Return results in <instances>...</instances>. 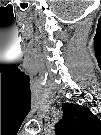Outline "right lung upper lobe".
<instances>
[{
  "label": "right lung upper lobe",
  "instance_id": "obj_1",
  "mask_svg": "<svg viewBox=\"0 0 101 135\" xmlns=\"http://www.w3.org/2000/svg\"><path fill=\"white\" fill-rule=\"evenodd\" d=\"M100 121L88 109L74 104L63 106V117L55 132L62 135H98Z\"/></svg>",
  "mask_w": 101,
  "mask_h": 135
}]
</instances>
